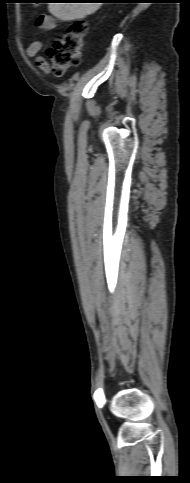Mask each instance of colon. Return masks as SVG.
Instances as JSON below:
<instances>
[{"instance_id": "1", "label": "colon", "mask_w": 190, "mask_h": 483, "mask_svg": "<svg viewBox=\"0 0 190 483\" xmlns=\"http://www.w3.org/2000/svg\"><path fill=\"white\" fill-rule=\"evenodd\" d=\"M87 31L85 20L73 21L63 34L60 41L56 42L46 52L50 61L48 70L55 76L64 75L67 70L79 64L81 49Z\"/></svg>"}]
</instances>
